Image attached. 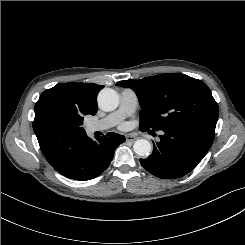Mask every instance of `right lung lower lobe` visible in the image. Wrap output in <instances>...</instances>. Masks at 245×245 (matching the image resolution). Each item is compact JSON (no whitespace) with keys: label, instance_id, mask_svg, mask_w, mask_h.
<instances>
[{"label":"right lung lower lobe","instance_id":"1","mask_svg":"<svg viewBox=\"0 0 245 245\" xmlns=\"http://www.w3.org/2000/svg\"><path fill=\"white\" fill-rule=\"evenodd\" d=\"M93 141L86 134L66 137L47 161L63 176L86 181L99 176L112 161L117 146L125 137L113 132Z\"/></svg>","mask_w":245,"mask_h":245}]
</instances>
